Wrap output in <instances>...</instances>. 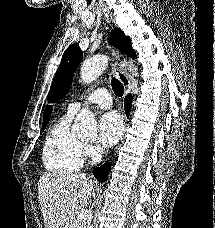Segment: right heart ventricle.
Listing matches in <instances>:
<instances>
[{"label":"right heart ventricle","instance_id":"obj_1","mask_svg":"<svg viewBox=\"0 0 215 228\" xmlns=\"http://www.w3.org/2000/svg\"><path fill=\"white\" fill-rule=\"evenodd\" d=\"M72 114L67 113L57 119L46 133L42 161L47 171L68 174L80 169L83 163V143L71 130Z\"/></svg>","mask_w":215,"mask_h":228}]
</instances>
